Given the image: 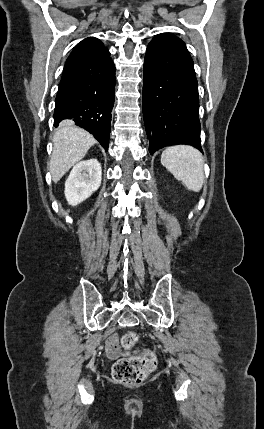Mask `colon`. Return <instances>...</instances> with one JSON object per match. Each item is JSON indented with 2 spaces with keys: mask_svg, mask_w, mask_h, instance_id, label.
Here are the masks:
<instances>
[{
  "mask_svg": "<svg viewBox=\"0 0 264 429\" xmlns=\"http://www.w3.org/2000/svg\"><path fill=\"white\" fill-rule=\"evenodd\" d=\"M138 343V335L129 331L122 336L121 344L125 350H132ZM157 365L156 355L149 351L125 356L117 360L112 367V377L115 382L134 386L141 384Z\"/></svg>",
  "mask_w": 264,
  "mask_h": 429,
  "instance_id": "5ec220e1",
  "label": "colon"
}]
</instances>
